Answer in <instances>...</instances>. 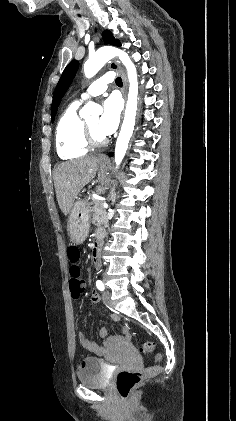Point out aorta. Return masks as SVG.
<instances>
[{
    "label": "aorta",
    "mask_w": 236,
    "mask_h": 421,
    "mask_svg": "<svg viewBox=\"0 0 236 421\" xmlns=\"http://www.w3.org/2000/svg\"><path fill=\"white\" fill-rule=\"evenodd\" d=\"M113 56H119L120 60H122L124 66L127 68V76L129 80V92L124 112V120L115 144L114 160L115 164L118 166V164H121L126 154L128 142L132 136L135 126L138 106V80L136 66L124 50L115 48V46H101V48H98L94 54H90L88 60L84 62V74L87 78L95 76V74L99 72L100 68L104 66L105 62H108V60L113 58Z\"/></svg>",
    "instance_id": "aorta-1"
}]
</instances>
